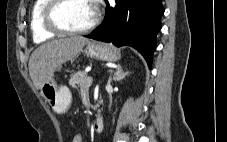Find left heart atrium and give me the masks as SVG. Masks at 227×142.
Here are the masks:
<instances>
[{
  "label": "left heart atrium",
  "mask_w": 227,
  "mask_h": 142,
  "mask_svg": "<svg viewBox=\"0 0 227 142\" xmlns=\"http://www.w3.org/2000/svg\"><path fill=\"white\" fill-rule=\"evenodd\" d=\"M95 1L96 0H90V2L92 3L93 7H95Z\"/></svg>",
  "instance_id": "left-heart-atrium-1"
}]
</instances>
